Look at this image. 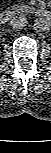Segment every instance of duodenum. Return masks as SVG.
Listing matches in <instances>:
<instances>
[{
  "label": "duodenum",
  "instance_id": "obj_1",
  "mask_svg": "<svg viewBox=\"0 0 51 153\" xmlns=\"http://www.w3.org/2000/svg\"><path fill=\"white\" fill-rule=\"evenodd\" d=\"M14 16V12L12 10H3L0 13V21L3 24H6L7 22H9V20ZM34 16L36 17H41L44 19L49 20L50 19V12L46 9L43 8H37L36 10H34Z\"/></svg>",
  "mask_w": 51,
  "mask_h": 153
}]
</instances>
